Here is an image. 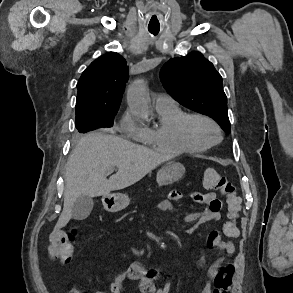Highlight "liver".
I'll return each mask as SVG.
<instances>
[{"label":"liver","mask_w":293,"mask_h":293,"mask_svg":"<svg viewBox=\"0 0 293 293\" xmlns=\"http://www.w3.org/2000/svg\"><path fill=\"white\" fill-rule=\"evenodd\" d=\"M172 157L115 135L86 134L66 164L64 206L56 229L70 221L72 207L80 196H107L111 191L129 187ZM114 167L118 168L117 173L107 179Z\"/></svg>","instance_id":"1"}]
</instances>
